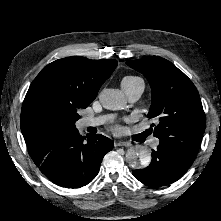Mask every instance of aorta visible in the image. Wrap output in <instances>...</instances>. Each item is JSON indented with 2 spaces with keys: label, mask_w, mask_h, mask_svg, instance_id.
I'll return each mask as SVG.
<instances>
[{
  "label": "aorta",
  "mask_w": 221,
  "mask_h": 221,
  "mask_svg": "<svg viewBox=\"0 0 221 221\" xmlns=\"http://www.w3.org/2000/svg\"><path fill=\"white\" fill-rule=\"evenodd\" d=\"M99 100L102 106L109 110L123 109L126 104L124 94L118 89H104ZM127 163L133 168H141L151 162V153L147 148L140 146L130 147L125 155Z\"/></svg>",
  "instance_id": "aorta-1"
}]
</instances>
